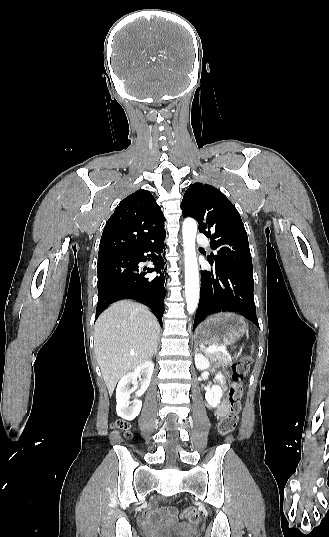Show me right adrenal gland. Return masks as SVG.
<instances>
[{
  "label": "right adrenal gland",
  "mask_w": 329,
  "mask_h": 537,
  "mask_svg": "<svg viewBox=\"0 0 329 537\" xmlns=\"http://www.w3.org/2000/svg\"><path fill=\"white\" fill-rule=\"evenodd\" d=\"M157 346H158V345H157ZM156 354H157V348L155 349V351H154V354H153V355H156Z\"/></svg>",
  "instance_id": "1"
}]
</instances>
